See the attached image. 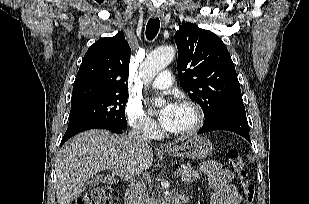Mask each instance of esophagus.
Instances as JSON below:
<instances>
[{
	"mask_svg": "<svg viewBox=\"0 0 309 204\" xmlns=\"http://www.w3.org/2000/svg\"><path fill=\"white\" fill-rule=\"evenodd\" d=\"M151 16L153 17V18H157L158 16H159V14L158 13H151ZM170 146L168 145V144H165V145H163V148H165V149H167V148H169Z\"/></svg>",
	"mask_w": 309,
	"mask_h": 204,
	"instance_id": "obj_1",
	"label": "esophagus"
}]
</instances>
